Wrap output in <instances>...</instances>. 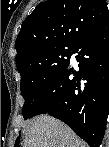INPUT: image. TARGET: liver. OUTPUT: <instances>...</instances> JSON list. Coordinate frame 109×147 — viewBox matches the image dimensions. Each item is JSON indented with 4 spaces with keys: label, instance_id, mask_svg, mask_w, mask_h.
<instances>
[{
    "label": "liver",
    "instance_id": "6515ba94",
    "mask_svg": "<svg viewBox=\"0 0 109 147\" xmlns=\"http://www.w3.org/2000/svg\"><path fill=\"white\" fill-rule=\"evenodd\" d=\"M26 126L25 147H86L66 124L54 117L37 116Z\"/></svg>",
    "mask_w": 109,
    "mask_h": 147
}]
</instances>
